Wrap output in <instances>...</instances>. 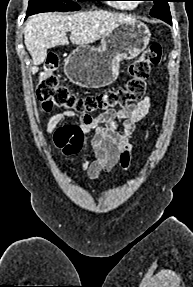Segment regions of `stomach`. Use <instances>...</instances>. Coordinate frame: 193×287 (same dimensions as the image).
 <instances>
[{"mask_svg": "<svg viewBox=\"0 0 193 287\" xmlns=\"http://www.w3.org/2000/svg\"><path fill=\"white\" fill-rule=\"evenodd\" d=\"M150 38L144 23H121L102 38L100 48L80 45L73 50L65 61V74L83 88L108 86L118 77L120 62L136 58L146 49Z\"/></svg>", "mask_w": 193, "mask_h": 287, "instance_id": "0dacf381", "label": "stomach"}]
</instances>
